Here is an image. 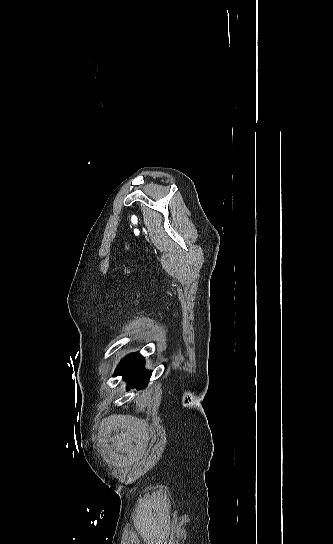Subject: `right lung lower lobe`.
I'll return each instance as SVG.
<instances>
[{"instance_id": "98d812e1", "label": "right lung lower lobe", "mask_w": 333, "mask_h": 544, "mask_svg": "<svg viewBox=\"0 0 333 544\" xmlns=\"http://www.w3.org/2000/svg\"><path fill=\"white\" fill-rule=\"evenodd\" d=\"M144 357L139 353H131L121 360L114 376H123L127 382V390L131 388L144 389L150 379L152 371L144 369Z\"/></svg>"}]
</instances>
